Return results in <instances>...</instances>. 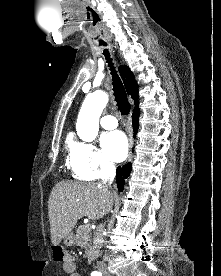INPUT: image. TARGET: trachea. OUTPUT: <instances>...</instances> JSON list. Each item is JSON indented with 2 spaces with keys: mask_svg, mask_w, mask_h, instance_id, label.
I'll list each match as a JSON object with an SVG mask.
<instances>
[{
  "mask_svg": "<svg viewBox=\"0 0 221 276\" xmlns=\"http://www.w3.org/2000/svg\"><path fill=\"white\" fill-rule=\"evenodd\" d=\"M100 45L107 46V43L101 42ZM103 54L107 60L110 70H111V75H112V80H113V83H112L113 91H114V96H115V100L117 102L118 109L122 115H128L131 107H130V103L127 98L125 88L122 84L121 79L119 78V76L117 74V71L115 70V67L113 65L112 59L110 58L108 49H104Z\"/></svg>",
  "mask_w": 221,
  "mask_h": 276,
  "instance_id": "obj_1",
  "label": "trachea"
}]
</instances>
